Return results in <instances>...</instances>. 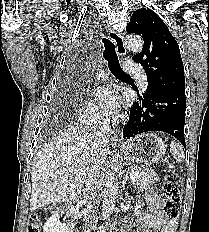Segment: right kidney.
<instances>
[{"label":"right kidney","mask_w":209,"mask_h":232,"mask_svg":"<svg viewBox=\"0 0 209 232\" xmlns=\"http://www.w3.org/2000/svg\"><path fill=\"white\" fill-rule=\"evenodd\" d=\"M60 216L58 213L52 215L43 227L44 232H68L66 224L61 223L59 220Z\"/></svg>","instance_id":"right-kidney-1"}]
</instances>
